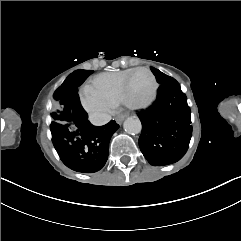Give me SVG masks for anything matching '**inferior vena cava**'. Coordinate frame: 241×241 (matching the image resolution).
Instances as JSON below:
<instances>
[{
    "label": "inferior vena cava",
    "mask_w": 241,
    "mask_h": 241,
    "mask_svg": "<svg viewBox=\"0 0 241 241\" xmlns=\"http://www.w3.org/2000/svg\"><path fill=\"white\" fill-rule=\"evenodd\" d=\"M90 122L95 126H102L111 120V115L106 113H98L89 116Z\"/></svg>",
    "instance_id": "1"
}]
</instances>
